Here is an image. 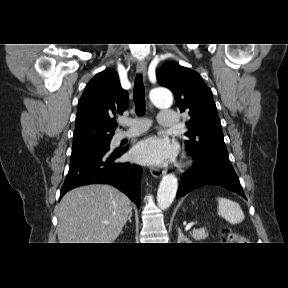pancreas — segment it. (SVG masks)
<instances>
[{
  "mask_svg": "<svg viewBox=\"0 0 288 288\" xmlns=\"http://www.w3.org/2000/svg\"><path fill=\"white\" fill-rule=\"evenodd\" d=\"M191 236L194 240H203L208 237V231L205 229H194L191 233Z\"/></svg>",
  "mask_w": 288,
  "mask_h": 288,
  "instance_id": "cf45deb5",
  "label": "pancreas"
}]
</instances>
